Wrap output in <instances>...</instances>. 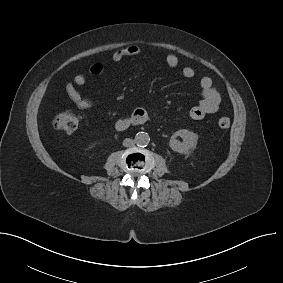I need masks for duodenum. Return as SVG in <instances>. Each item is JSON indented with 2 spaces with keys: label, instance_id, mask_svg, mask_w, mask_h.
Segmentation results:
<instances>
[{
  "label": "duodenum",
  "instance_id": "1",
  "mask_svg": "<svg viewBox=\"0 0 283 283\" xmlns=\"http://www.w3.org/2000/svg\"><path fill=\"white\" fill-rule=\"evenodd\" d=\"M132 124H139L136 120L131 118L120 119L116 122V129L119 131H123L127 129Z\"/></svg>",
  "mask_w": 283,
  "mask_h": 283
}]
</instances>
